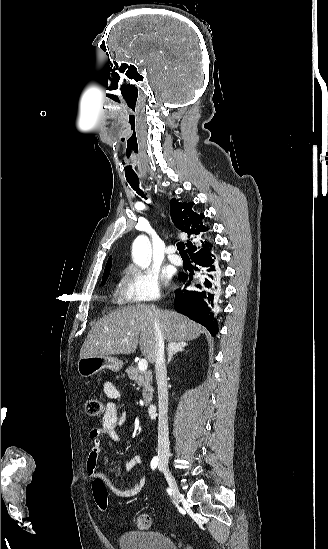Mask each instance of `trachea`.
Listing matches in <instances>:
<instances>
[{
  "label": "trachea",
  "mask_w": 328,
  "mask_h": 549,
  "mask_svg": "<svg viewBox=\"0 0 328 549\" xmlns=\"http://www.w3.org/2000/svg\"><path fill=\"white\" fill-rule=\"evenodd\" d=\"M128 183L134 190H136L137 194L141 195V197L146 198L144 192L139 188V180H128ZM177 249L179 250L180 255H187L184 250L185 244L183 242L177 243Z\"/></svg>",
  "instance_id": "trachea-1"
}]
</instances>
